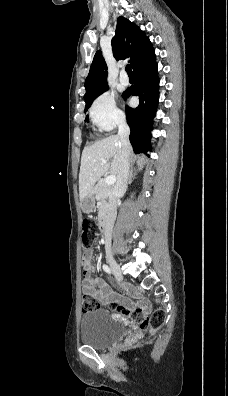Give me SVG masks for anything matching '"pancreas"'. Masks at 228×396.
Here are the masks:
<instances>
[{
  "label": "pancreas",
  "mask_w": 228,
  "mask_h": 396,
  "mask_svg": "<svg viewBox=\"0 0 228 396\" xmlns=\"http://www.w3.org/2000/svg\"><path fill=\"white\" fill-rule=\"evenodd\" d=\"M94 193L96 199L99 201L98 219H106L109 211V200L111 198L112 189L104 180H99L94 187Z\"/></svg>",
  "instance_id": "obj_1"
}]
</instances>
